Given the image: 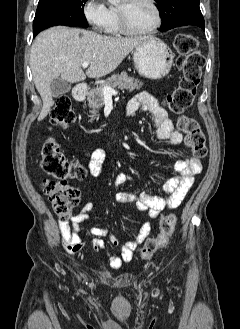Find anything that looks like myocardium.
Returning <instances> with one entry per match:
<instances>
[{"mask_svg": "<svg viewBox=\"0 0 240 329\" xmlns=\"http://www.w3.org/2000/svg\"><path fill=\"white\" fill-rule=\"evenodd\" d=\"M128 2H132L133 0H127ZM149 4L152 6L155 12V22L154 24L144 30H134L132 29L127 20V16L125 14L124 9L121 7H117V13H118V18H119V25H120V30L123 34L129 35V36H147L152 33H154L156 30H158L162 24V12L157 4L156 0H147Z\"/></svg>", "mask_w": 240, "mask_h": 329, "instance_id": "obj_1", "label": "myocardium"}]
</instances>
